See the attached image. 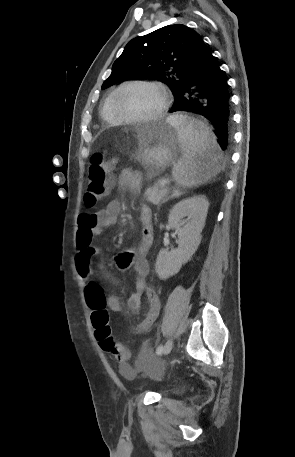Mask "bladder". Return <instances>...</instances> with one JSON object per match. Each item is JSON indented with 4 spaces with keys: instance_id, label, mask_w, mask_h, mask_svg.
I'll return each mask as SVG.
<instances>
[{
    "instance_id": "obj_1",
    "label": "bladder",
    "mask_w": 295,
    "mask_h": 457,
    "mask_svg": "<svg viewBox=\"0 0 295 457\" xmlns=\"http://www.w3.org/2000/svg\"><path fill=\"white\" fill-rule=\"evenodd\" d=\"M144 351L146 352L144 354L145 360H137V363H136L137 369H157L158 367H160L159 369L156 370L160 374H164L165 372H167L168 374H172L174 372V369L172 367H168L167 369H165L164 367H161L162 366L161 361L156 359L155 352H150L151 348L149 346H146L144 348ZM122 373L128 379H133L135 376V372L129 368H124L122 370Z\"/></svg>"
}]
</instances>
